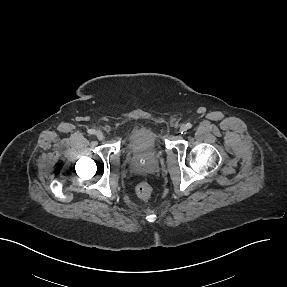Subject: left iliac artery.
Wrapping results in <instances>:
<instances>
[{
    "mask_svg": "<svg viewBox=\"0 0 287 287\" xmlns=\"http://www.w3.org/2000/svg\"><path fill=\"white\" fill-rule=\"evenodd\" d=\"M186 126H187L188 129H190L192 127V124L191 123H187Z\"/></svg>",
    "mask_w": 287,
    "mask_h": 287,
    "instance_id": "left-iliac-artery-1",
    "label": "left iliac artery"
}]
</instances>
